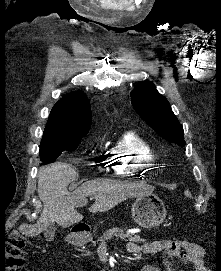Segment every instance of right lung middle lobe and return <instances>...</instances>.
Masks as SVG:
<instances>
[{
    "mask_svg": "<svg viewBox=\"0 0 221 271\" xmlns=\"http://www.w3.org/2000/svg\"><path fill=\"white\" fill-rule=\"evenodd\" d=\"M81 137H51L43 136L40 145V165H45L54 162L59 155L65 151L75 150L81 142Z\"/></svg>",
    "mask_w": 221,
    "mask_h": 271,
    "instance_id": "right-lung-middle-lobe-1",
    "label": "right lung middle lobe"
}]
</instances>
